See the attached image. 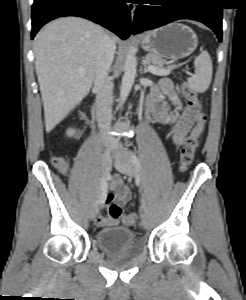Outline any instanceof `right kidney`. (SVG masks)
Here are the masks:
<instances>
[{
	"label": "right kidney",
	"instance_id": "1",
	"mask_svg": "<svg viewBox=\"0 0 246 300\" xmlns=\"http://www.w3.org/2000/svg\"><path fill=\"white\" fill-rule=\"evenodd\" d=\"M73 133H74V130H73V129H69V130L67 131V135H68V136L72 135Z\"/></svg>",
	"mask_w": 246,
	"mask_h": 300
}]
</instances>
